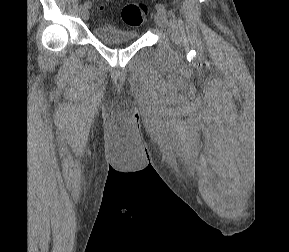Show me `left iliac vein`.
<instances>
[{"mask_svg":"<svg viewBox=\"0 0 289 252\" xmlns=\"http://www.w3.org/2000/svg\"><path fill=\"white\" fill-rule=\"evenodd\" d=\"M154 20L158 26H160V27L166 26L167 17H166L165 13L157 10L155 15H154Z\"/></svg>","mask_w":289,"mask_h":252,"instance_id":"left-iliac-vein-1","label":"left iliac vein"}]
</instances>
